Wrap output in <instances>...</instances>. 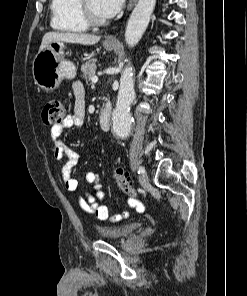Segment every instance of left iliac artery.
I'll use <instances>...</instances> for the list:
<instances>
[{
  "label": "left iliac artery",
  "mask_w": 247,
  "mask_h": 296,
  "mask_svg": "<svg viewBox=\"0 0 247 296\" xmlns=\"http://www.w3.org/2000/svg\"><path fill=\"white\" fill-rule=\"evenodd\" d=\"M145 171V169H144V167H139V169H138V174H141V173H143Z\"/></svg>",
  "instance_id": "44dca946"
}]
</instances>
